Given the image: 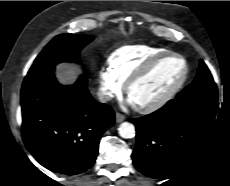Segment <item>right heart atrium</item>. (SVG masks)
<instances>
[{
	"label": "right heart atrium",
	"instance_id": "d8ad5b80",
	"mask_svg": "<svg viewBox=\"0 0 230 186\" xmlns=\"http://www.w3.org/2000/svg\"><path fill=\"white\" fill-rule=\"evenodd\" d=\"M99 91L104 100H110L119 95L123 83L110 71L108 67H101L98 73Z\"/></svg>",
	"mask_w": 230,
	"mask_h": 186
}]
</instances>
